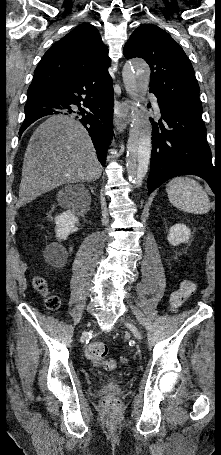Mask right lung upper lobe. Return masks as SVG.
Masks as SVG:
<instances>
[{
  "label": "right lung upper lobe",
  "mask_w": 221,
  "mask_h": 455,
  "mask_svg": "<svg viewBox=\"0 0 221 455\" xmlns=\"http://www.w3.org/2000/svg\"><path fill=\"white\" fill-rule=\"evenodd\" d=\"M108 49L93 25L83 23L74 28L44 54L34 72L28 99L78 75L110 65Z\"/></svg>",
  "instance_id": "right-lung-upper-lobe-1"
}]
</instances>
